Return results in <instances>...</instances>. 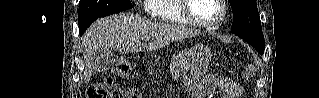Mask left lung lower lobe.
Masks as SVG:
<instances>
[{"label": "left lung lower lobe", "instance_id": "0a47b994", "mask_svg": "<svg viewBox=\"0 0 319 98\" xmlns=\"http://www.w3.org/2000/svg\"><path fill=\"white\" fill-rule=\"evenodd\" d=\"M260 54H263L264 50H257Z\"/></svg>", "mask_w": 319, "mask_h": 98}]
</instances>
